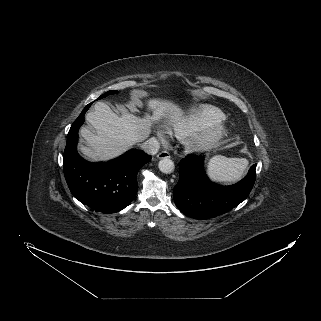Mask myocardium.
Here are the masks:
<instances>
[{
  "instance_id": "1",
  "label": "myocardium",
  "mask_w": 321,
  "mask_h": 321,
  "mask_svg": "<svg viewBox=\"0 0 321 321\" xmlns=\"http://www.w3.org/2000/svg\"><path fill=\"white\" fill-rule=\"evenodd\" d=\"M228 134L224 120L214 122L202 128L188 139L186 145L190 151L206 152L217 147Z\"/></svg>"
}]
</instances>
